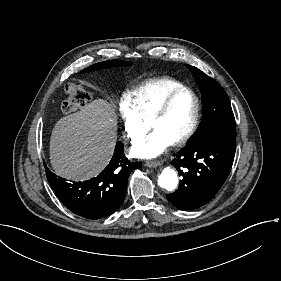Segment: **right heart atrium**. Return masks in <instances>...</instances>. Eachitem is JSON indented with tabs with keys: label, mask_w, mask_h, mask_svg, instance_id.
Listing matches in <instances>:
<instances>
[{
	"label": "right heart atrium",
	"mask_w": 281,
	"mask_h": 281,
	"mask_svg": "<svg viewBox=\"0 0 281 281\" xmlns=\"http://www.w3.org/2000/svg\"><path fill=\"white\" fill-rule=\"evenodd\" d=\"M119 118L123 128V140L131 145L139 142L145 134V127L126 99L119 102Z\"/></svg>",
	"instance_id": "right-heart-atrium-1"
}]
</instances>
